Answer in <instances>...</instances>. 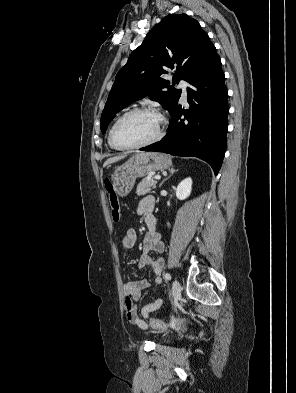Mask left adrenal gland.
Here are the masks:
<instances>
[{"instance_id": "left-adrenal-gland-1", "label": "left adrenal gland", "mask_w": 296, "mask_h": 393, "mask_svg": "<svg viewBox=\"0 0 296 393\" xmlns=\"http://www.w3.org/2000/svg\"><path fill=\"white\" fill-rule=\"evenodd\" d=\"M178 170H176V169H171V171H170V175L167 177V178H165L161 183H160V185H159V187H161L163 184H164V182L165 181H167L175 172H177Z\"/></svg>"}]
</instances>
